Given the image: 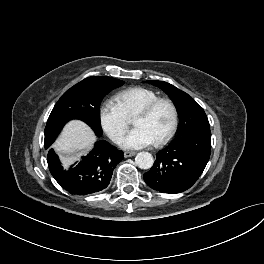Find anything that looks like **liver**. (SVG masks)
Wrapping results in <instances>:
<instances>
[{
    "mask_svg": "<svg viewBox=\"0 0 264 264\" xmlns=\"http://www.w3.org/2000/svg\"><path fill=\"white\" fill-rule=\"evenodd\" d=\"M96 141L92 129L82 121L72 120L63 129L52 147L63 156L65 166L71 164L80 152L91 149Z\"/></svg>",
    "mask_w": 264,
    "mask_h": 264,
    "instance_id": "1",
    "label": "liver"
}]
</instances>
